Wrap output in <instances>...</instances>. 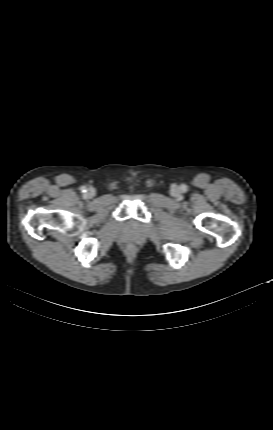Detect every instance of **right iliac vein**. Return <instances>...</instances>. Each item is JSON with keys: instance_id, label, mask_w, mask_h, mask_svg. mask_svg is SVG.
I'll use <instances>...</instances> for the list:
<instances>
[{"instance_id": "63e3f726", "label": "right iliac vein", "mask_w": 273, "mask_h": 430, "mask_svg": "<svg viewBox=\"0 0 273 430\" xmlns=\"http://www.w3.org/2000/svg\"><path fill=\"white\" fill-rule=\"evenodd\" d=\"M96 192L94 188H89L85 194L87 198H93L95 196Z\"/></svg>"}]
</instances>
